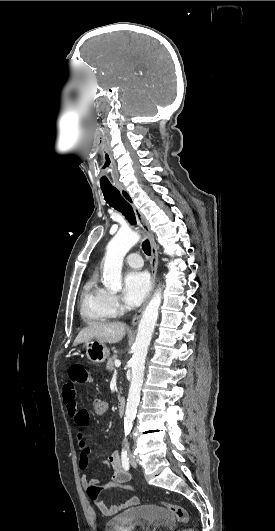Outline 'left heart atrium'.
<instances>
[{
	"label": "left heart atrium",
	"mask_w": 275,
	"mask_h": 531,
	"mask_svg": "<svg viewBox=\"0 0 275 531\" xmlns=\"http://www.w3.org/2000/svg\"><path fill=\"white\" fill-rule=\"evenodd\" d=\"M150 288V276L147 271L136 268L127 271L123 279V295L125 301L132 305H139Z\"/></svg>",
	"instance_id": "1"
}]
</instances>
